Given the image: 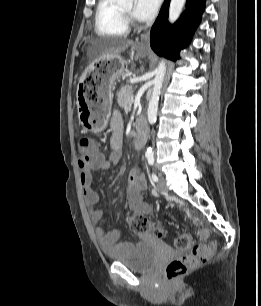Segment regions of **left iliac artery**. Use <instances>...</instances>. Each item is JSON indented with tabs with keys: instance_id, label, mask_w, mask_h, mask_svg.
Wrapping results in <instances>:
<instances>
[{
	"instance_id": "obj_1",
	"label": "left iliac artery",
	"mask_w": 261,
	"mask_h": 306,
	"mask_svg": "<svg viewBox=\"0 0 261 306\" xmlns=\"http://www.w3.org/2000/svg\"><path fill=\"white\" fill-rule=\"evenodd\" d=\"M148 163H149V165H153L154 164V158L153 157L148 158ZM151 177H152V180L154 182L158 181V176L155 173H152Z\"/></svg>"
}]
</instances>
